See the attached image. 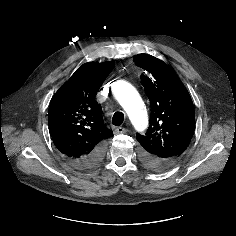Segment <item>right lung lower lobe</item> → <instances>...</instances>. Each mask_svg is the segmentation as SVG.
Here are the masks:
<instances>
[{"label":"right lung lower lobe","instance_id":"right-lung-lower-lobe-1","mask_svg":"<svg viewBox=\"0 0 236 236\" xmlns=\"http://www.w3.org/2000/svg\"><path fill=\"white\" fill-rule=\"evenodd\" d=\"M106 142L98 144L89 154L80 158H67L71 165L80 169H90L97 166L103 159Z\"/></svg>","mask_w":236,"mask_h":236}]
</instances>
